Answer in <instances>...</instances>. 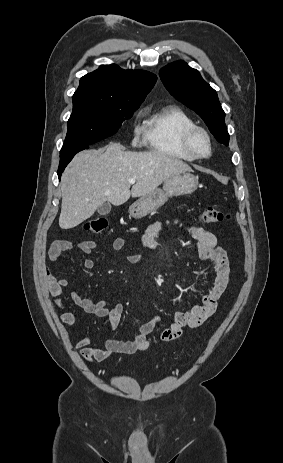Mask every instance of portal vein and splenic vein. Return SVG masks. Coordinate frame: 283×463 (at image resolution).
Wrapping results in <instances>:
<instances>
[{
    "instance_id": "portal-vein-and-splenic-vein-1",
    "label": "portal vein and splenic vein",
    "mask_w": 283,
    "mask_h": 463,
    "mask_svg": "<svg viewBox=\"0 0 283 463\" xmlns=\"http://www.w3.org/2000/svg\"><path fill=\"white\" fill-rule=\"evenodd\" d=\"M135 182H136V180H135L134 178L129 179V183H130V184H135Z\"/></svg>"
}]
</instances>
